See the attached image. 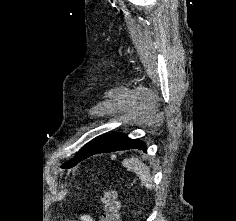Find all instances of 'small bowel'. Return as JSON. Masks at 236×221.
Returning <instances> with one entry per match:
<instances>
[{
	"mask_svg": "<svg viewBox=\"0 0 236 221\" xmlns=\"http://www.w3.org/2000/svg\"><path fill=\"white\" fill-rule=\"evenodd\" d=\"M80 220L81 221H93V219L89 215H86V214H82L80 216Z\"/></svg>",
	"mask_w": 236,
	"mask_h": 221,
	"instance_id": "1",
	"label": "small bowel"
}]
</instances>
